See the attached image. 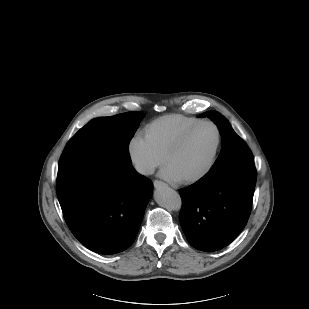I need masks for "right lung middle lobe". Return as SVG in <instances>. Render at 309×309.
<instances>
[{
  "label": "right lung middle lobe",
  "instance_id": "obj_1",
  "mask_svg": "<svg viewBox=\"0 0 309 309\" xmlns=\"http://www.w3.org/2000/svg\"><path fill=\"white\" fill-rule=\"evenodd\" d=\"M143 117L142 112H127L92 119L69 141L58 166L57 182L91 161L131 163L128 146Z\"/></svg>",
  "mask_w": 309,
  "mask_h": 309
}]
</instances>
